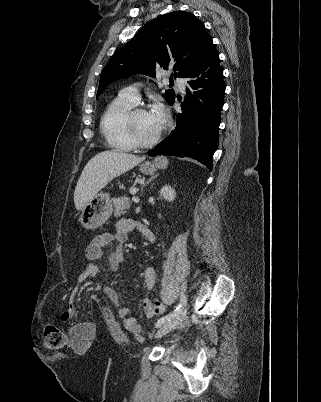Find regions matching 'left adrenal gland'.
Returning <instances> with one entry per match:
<instances>
[{"instance_id": "obj_1", "label": "left adrenal gland", "mask_w": 321, "mask_h": 402, "mask_svg": "<svg viewBox=\"0 0 321 402\" xmlns=\"http://www.w3.org/2000/svg\"><path fill=\"white\" fill-rule=\"evenodd\" d=\"M158 176V174H155L154 176H152L147 182L146 184H149L152 180H154L156 177ZM143 192V188L141 190V193Z\"/></svg>"}]
</instances>
